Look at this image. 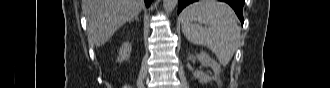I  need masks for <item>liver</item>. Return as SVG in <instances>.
Returning a JSON list of instances; mask_svg holds the SVG:
<instances>
[{"label": "liver", "mask_w": 330, "mask_h": 88, "mask_svg": "<svg viewBox=\"0 0 330 88\" xmlns=\"http://www.w3.org/2000/svg\"><path fill=\"white\" fill-rule=\"evenodd\" d=\"M144 7L143 0H83L90 42L104 45L126 22L132 20Z\"/></svg>", "instance_id": "liver-1"}]
</instances>
